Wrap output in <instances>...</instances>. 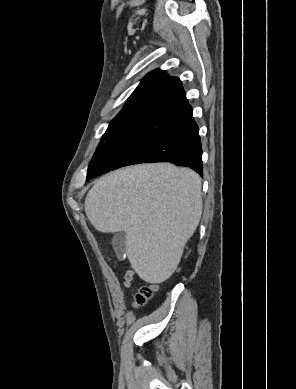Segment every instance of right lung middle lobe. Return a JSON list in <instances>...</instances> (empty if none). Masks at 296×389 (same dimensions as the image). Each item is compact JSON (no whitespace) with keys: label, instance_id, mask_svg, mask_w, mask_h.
Wrapping results in <instances>:
<instances>
[{"label":"right lung middle lobe","instance_id":"obj_1","mask_svg":"<svg viewBox=\"0 0 296 389\" xmlns=\"http://www.w3.org/2000/svg\"><path fill=\"white\" fill-rule=\"evenodd\" d=\"M178 120L141 115L113 120L99 143L88 170L106 172L142 163L149 150Z\"/></svg>","mask_w":296,"mask_h":389}]
</instances>
